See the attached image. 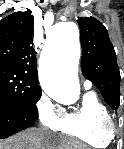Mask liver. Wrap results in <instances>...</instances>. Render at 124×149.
<instances>
[{
	"instance_id": "1",
	"label": "liver",
	"mask_w": 124,
	"mask_h": 149,
	"mask_svg": "<svg viewBox=\"0 0 124 149\" xmlns=\"http://www.w3.org/2000/svg\"><path fill=\"white\" fill-rule=\"evenodd\" d=\"M0 149H88L74 139L52 135L44 128H32L0 142Z\"/></svg>"
}]
</instances>
